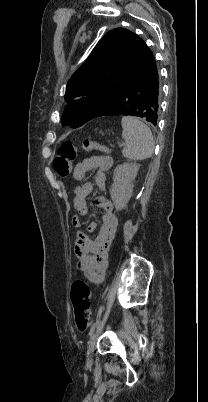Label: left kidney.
Segmentation results:
<instances>
[{
    "label": "left kidney",
    "mask_w": 208,
    "mask_h": 402,
    "mask_svg": "<svg viewBox=\"0 0 208 402\" xmlns=\"http://www.w3.org/2000/svg\"><path fill=\"white\" fill-rule=\"evenodd\" d=\"M138 170L139 164H122V166H117L116 170H114L110 194L116 210L126 208L132 196L133 182Z\"/></svg>",
    "instance_id": "1"
}]
</instances>
